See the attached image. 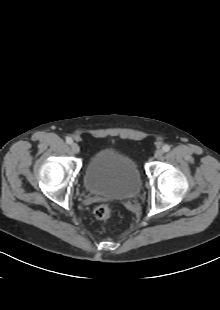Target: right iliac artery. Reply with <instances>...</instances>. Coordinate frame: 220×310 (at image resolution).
<instances>
[{
  "label": "right iliac artery",
  "mask_w": 220,
  "mask_h": 310,
  "mask_svg": "<svg viewBox=\"0 0 220 310\" xmlns=\"http://www.w3.org/2000/svg\"><path fill=\"white\" fill-rule=\"evenodd\" d=\"M66 143L67 144H72L73 143V140L71 137H66Z\"/></svg>",
  "instance_id": "82829eb1"
}]
</instances>
